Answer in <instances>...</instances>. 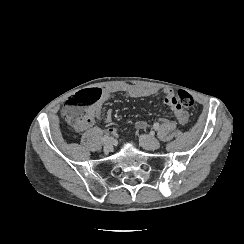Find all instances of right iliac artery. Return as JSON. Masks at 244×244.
<instances>
[{
  "mask_svg": "<svg viewBox=\"0 0 244 244\" xmlns=\"http://www.w3.org/2000/svg\"><path fill=\"white\" fill-rule=\"evenodd\" d=\"M110 133H106L102 139V142L105 143L109 139Z\"/></svg>",
  "mask_w": 244,
  "mask_h": 244,
  "instance_id": "82829eb1",
  "label": "right iliac artery"
}]
</instances>
